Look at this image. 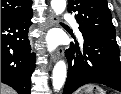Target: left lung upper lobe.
Here are the masks:
<instances>
[{
  "label": "left lung upper lobe",
  "instance_id": "left-lung-upper-lobe-1",
  "mask_svg": "<svg viewBox=\"0 0 121 94\" xmlns=\"http://www.w3.org/2000/svg\"><path fill=\"white\" fill-rule=\"evenodd\" d=\"M68 12L75 13L81 33L116 39L107 0H68Z\"/></svg>",
  "mask_w": 121,
  "mask_h": 94
}]
</instances>
